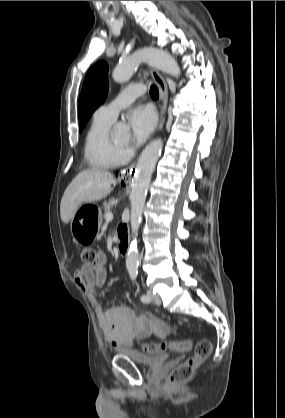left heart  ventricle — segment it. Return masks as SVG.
<instances>
[{
	"label": "left heart ventricle",
	"instance_id": "1",
	"mask_svg": "<svg viewBox=\"0 0 285 418\" xmlns=\"http://www.w3.org/2000/svg\"><path fill=\"white\" fill-rule=\"evenodd\" d=\"M126 138H113V142L117 145L123 146L126 142Z\"/></svg>",
	"mask_w": 285,
	"mask_h": 418
}]
</instances>
